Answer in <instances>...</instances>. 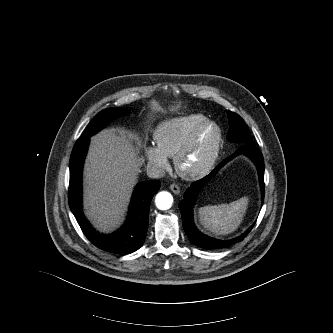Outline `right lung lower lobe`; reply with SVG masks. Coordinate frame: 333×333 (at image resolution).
I'll list each match as a JSON object with an SVG mask.
<instances>
[{
    "mask_svg": "<svg viewBox=\"0 0 333 333\" xmlns=\"http://www.w3.org/2000/svg\"><path fill=\"white\" fill-rule=\"evenodd\" d=\"M90 137L77 140L70 158L69 206L83 233L96 247L118 254H130L144 243L148 222L149 207L152 197L158 192L160 182L150 180L136 186L127 222L112 235H101L89 224L82 212L81 176L84 158Z\"/></svg>",
    "mask_w": 333,
    "mask_h": 333,
    "instance_id": "98d812e1",
    "label": "right lung lower lobe"
}]
</instances>
